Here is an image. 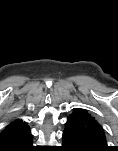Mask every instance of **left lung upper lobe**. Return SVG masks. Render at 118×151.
Instances as JSON below:
<instances>
[{
	"mask_svg": "<svg viewBox=\"0 0 118 151\" xmlns=\"http://www.w3.org/2000/svg\"><path fill=\"white\" fill-rule=\"evenodd\" d=\"M65 129L83 138L93 151H107L109 149L104 129L86 110L75 109L68 117Z\"/></svg>",
	"mask_w": 118,
	"mask_h": 151,
	"instance_id": "left-lung-upper-lobe-1",
	"label": "left lung upper lobe"
}]
</instances>
